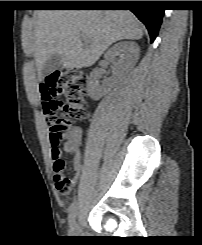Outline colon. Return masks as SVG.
<instances>
[{
  "label": "colon",
  "mask_w": 202,
  "mask_h": 245,
  "mask_svg": "<svg viewBox=\"0 0 202 245\" xmlns=\"http://www.w3.org/2000/svg\"><path fill=\"white\" fill-rule=\"evenodd\" d=\"M45 84L53 88L59 98L54 107L43 104L50 144L59 148L64 131L70 128L73 120L84 114L88 75L78 69L57 70L48 74ZM53 108L62 109V115H55Z\"/></svg>",
  "instance_id": "obj_1"
}]
</instances>
